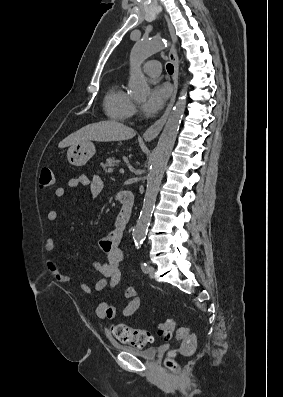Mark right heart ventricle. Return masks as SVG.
<instances>
[{"label":"right heart ventricle","mask_w":283,"mask_h":397,"mask_svg":"<svg viewBox=\"0 0 283 397\" xmlns=\"http://www.w3.org/2000/svg\"><path fill=\"white\" fill-rule=\"evenodd\" d=\"M131 104L132 100L124 91L121 83L119 81L114 82L107 90L104 98L106 115L114 121L122 122L130 116Z\"/></svg>","instance_id":"1"}]
</instances>
